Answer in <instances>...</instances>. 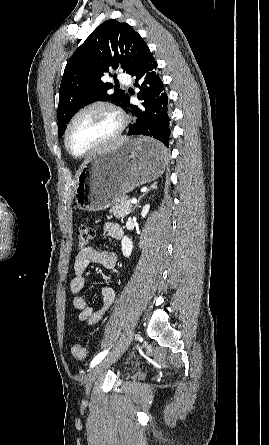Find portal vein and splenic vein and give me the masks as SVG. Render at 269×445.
Here are the masks:
<instances>
[{
    "label": "portal vein and splenic vein",
    "mask_w": 269,
    "mask_h": 445,
    "mask_svg": "<svg viewBox=\"0 0 269 445\" xmlns=\"http://www.w3.org/2000/svg\"><path fill=\"white\" fill-rule=\"evenodd\" d=\"M132 204H135L137 202L136 198L131 199L130 201Z\"/></svg>",
    "instance_id": "1"
}]
</instances>
